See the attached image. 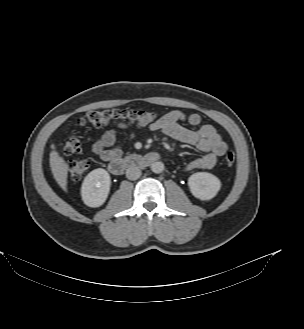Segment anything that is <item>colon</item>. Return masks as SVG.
Wrapping results in <instances>:
<instances>
[{"label":"colon","instance_id":"obj_1","mask_svg":"<svg viewBox=\"0 0 304 329\" xmlns=\"http://www.w3.org/2000/svg\"><path fill=\"white\" fill-rule=\"evenodd\" d=\"M156 121V114L147 111L104 109L89 111L79 119L81 126L104 127L107 125L131 124L149 125ZM81 141L76 137H69L64 142V152L68 155L81 151ZM225 162L232 165L235 162V153L231 149L225 153ZM91 161L88 158L75 160L69 165V177L72 180L81 179L89 170Z\"/></svg>","mask_w":304,"mask_h":329}]
</instances>
